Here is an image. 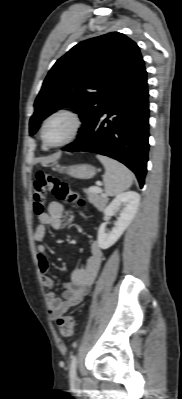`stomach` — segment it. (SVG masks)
<instances>
[{
    "instance_id": "obj_1",
    "label": "stomach",
    "mask_w": 182,
    "mask_h": 399,
    "mask_svg": "<svg viewBox=\"0 0 182 399\" xmlns=\"http://www.w3.org/2000/svg\"><path fill=\"white\" fill-rule=\"evenodd\" d=\"M54 169L58 170L60 173H66L79 179H89L96 174V168L89 164H77L71 166L57 165Z\"/></svg>"
}]
</instances>
